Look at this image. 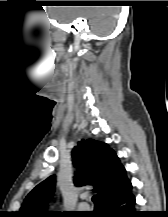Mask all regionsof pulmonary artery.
Returning a JSON list of instances; mask_svg holds the SVG:
<instances>
[{"mask_svg":"<svg viewBox=\"0 0 168 217\" xmlns=\"http://www.w3.org/2000/svg\"><path fill=\"white\" fill-rule=\"evenodd\" d=\"M80 209H88V205L85 202H82L78 206Z\"/></svg>","mask_w":168,"mask_h":217,"instance_id":"pulmonary-artery-1","label":"pulmonary artery"}]
</instances>
